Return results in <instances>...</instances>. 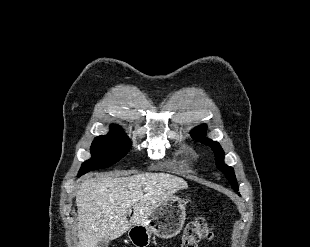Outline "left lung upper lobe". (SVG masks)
<instances>
[{
  "label": "left lung upper lobe",
  "instance_id": "1",
  "mask_svg": "<svg viewBox=\"0 0 310 247\" xmlns=\"http://www.w3.org/2000/svg\"><path fill=\"white\" fill-rule=\"evenodd\" d=\"M206 128H207L206 125H200L196 127L191 132L192 137L198 140L199 142L205 145H208L212 148V150L215 153L217 168L225 174L226 178L232 184V188L235 191H238V184H237V180H236L233 168L224 164V151L222 150L220 144L216 141H212L204 137V135L206 134Z\"/></svg>",
  "mask_w": 310,
  "mask_h": 247
}]
</instances>
